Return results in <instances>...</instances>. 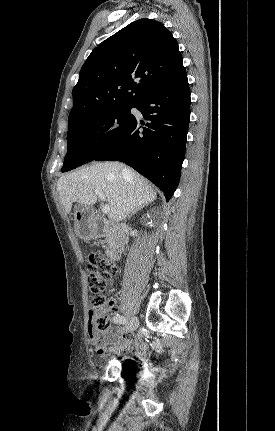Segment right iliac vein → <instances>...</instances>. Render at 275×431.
I'll return each mask as SVG.
<instances>
[{
    "label": "right iliac vein",
    "mask_w": 275,
    "mask_h": 431,
    "mask_svg": "<svg viewBox=\"0 0 275 431\" xmlns=\"http://www.w3.org/2000/svg\"><path fill=\"white\" fill-rule=\"evenodd\" d=\"M139 321L137 317L131 319L130 323L121 328L120 332H132L137 329Z\"/></svg>",
    "instance_id": "1"
}]
</instances>
